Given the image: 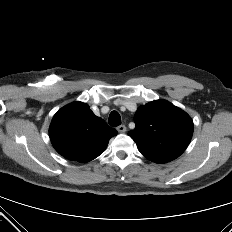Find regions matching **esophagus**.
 <instances>
[{"mask_svg":"<svg viewBox=\"0 0 232 232\" xmlns=\"http://www.w3.org/2000/svg\"><path fill=\"white\" fill-rule=\"evenodd\" d=\"M126 130H127V128H126L125 125H120V126L117 127V131H118L119 133H125Z\"/></svg>","mask_w":232,"mask_h":232,"instance_id":"esophagus-1","label":"esophagus"}]
</instances>
